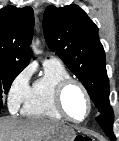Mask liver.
Returning a JSON list of instances; mask_svg holds the SVG:
<instances>
[{
    "label": "liver",
    "instance_id": "1",
    "mask_svg": "<svg viewBox=\"0 0 119 141\" xmlns=\"http://www.w3.org/2000/svg\"><path fill=\"white\" fill-rule=\"evenodd\" d=\"M61 127L60 122L45 118H0V141H42Z\"/></svg>",
    "mask_w": 119,
    "mask_h": 141
}]
</instances>
